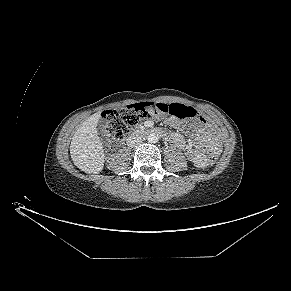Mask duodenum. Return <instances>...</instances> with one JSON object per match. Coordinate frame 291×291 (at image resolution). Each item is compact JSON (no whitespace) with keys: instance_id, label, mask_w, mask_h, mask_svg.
<instances>
[{"instance_id":"obj_1","label":"duodenum","mask_w":291,"mask_h":291,"mask_svg":"<svg viewBox=\"0 0 291 291\" xmlns=\"http://www.w3.org/2000/svg\"><path fill=\"white\" fill-rule=\"evenodd\" d=\"M159 133L160 131L159 130H152V129H141L139 131H137V134L139 135H148L150 133Z\"/></svg>"}]
</instances>
